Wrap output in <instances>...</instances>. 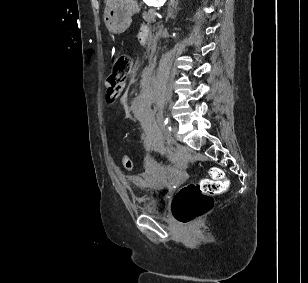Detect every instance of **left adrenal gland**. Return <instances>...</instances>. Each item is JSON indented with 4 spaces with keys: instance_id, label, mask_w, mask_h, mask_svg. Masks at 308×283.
<instances>
[{
    "instance_id": "1",
    "label": "left adrenal gland",
    "mask_w": 308,
    "mask_h": 283,
    "mask_svg": "<svg viewBox=\"0 0 308 283\" xmlns=\"http://www.w3.org/2000/svg\"><path fill=\"white\" fill-rule=\"evenodd\" d=\"M178 0H170L169 5H168V16L167 18H175V11L177 8Z\"/></svg>"
}]
</instances>
